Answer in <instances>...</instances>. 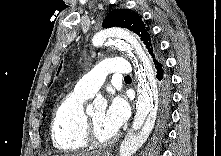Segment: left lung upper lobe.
Wrapping results in <instances>:
<instances>
[{
  "label": "left lung upper lobe",
  "mask_w": 221,
  "mask_h": 156,
  "mask_svg": "<svg viewBox=\"0 0 221 156\" xmlns=\"http://www.w3.org/2000/svg\"><path fill=\"white\" fill-rule=\"evenodd\" d=\"M110 27L127 28L133 31L140 36L154 64L163 60L159 53L157 43L153 39L150 27L141 15L129 9H115L110 12L103 21V28ZM60 69L61 67H59V70Z\"/></svg>",
  "instance_id": "obj_1"
}]
</instances>
